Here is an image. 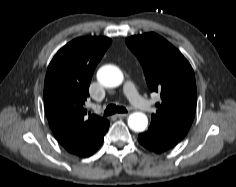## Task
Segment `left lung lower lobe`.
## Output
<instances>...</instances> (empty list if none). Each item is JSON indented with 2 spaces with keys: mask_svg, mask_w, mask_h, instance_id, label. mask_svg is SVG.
I'll return each instance as SVG.
<instances>
[{
  "mask_svg": "<svg viewBox=\"0 0 236 187\" xmlns=\"http://www.w3.org/2000/svg\"><path fill=\"white\" fill-rule=\"evenodd\" d=\"M138 141L146 149L155 153H161L174 147L180 140L153 130H148L139 134Z\"/></svg>",
  "mask_w": 236,
  "mask_h": 187,
  "instance_id": "1",
  "label": "left lung lower lobe"
}]
</instances>
